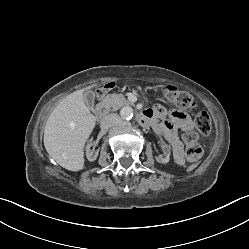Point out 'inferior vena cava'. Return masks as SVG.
<instances>
[{
  "label": "inferior vena cava",
  "mask_w": 249,
  "mask_h": 249,
  "mask_svg": "<svg viewBox=\"0 0 249 249\" xmlns=\"http://www.w3.org/2000/svg\"><path fill=\"white\" fill-rule=\"evenodd\" d=\"M122 123L121 117L117 114H109L104 117L100 123L102 130H107L113 126H118Z\"/></svg>",
  "instance_id": "inferior-vena-cava-1"
}]
</instances>
